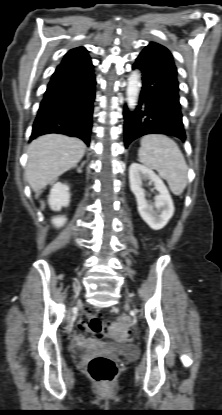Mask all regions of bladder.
I'll return each mask as SVG.
<instances>
[{
  "label": "bladder",
  "mask_w": 222,
  "mask_h": 415,
  "mask_svg": "<svg viewBox=\"0 0 222 415\" xmlns=\"http://www.w3.org/2000/svg\"><path fill=\"white\" fill-rule=\"evenodd\" d=\"M106 350L114 355L133 357L137 355V349L134 345L129 342L115 343L106 345ZM86 351V349H83Z\"/></svg>",
  "instance_id": "31cf9c89"
}]
</instances>
